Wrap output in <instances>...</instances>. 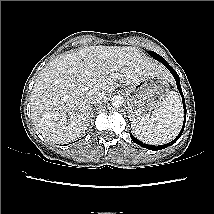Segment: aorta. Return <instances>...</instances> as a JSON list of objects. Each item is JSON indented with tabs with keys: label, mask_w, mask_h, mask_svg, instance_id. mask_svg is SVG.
<instances>
[{
	"label": "aorta",
	"mask_w": 214,
	"mask_h": 214,
	"mask_svg": "<svg viewBox=\"0 0 214 214\" xmlns=\"http://www.w3.org/2000/svg\"><path fill=\"white\" fill-rule=\"evenodd\" d=\"M123 97L120 96V95H114L112 98H111V104L113 107H120L123 105Z\"/></svg>",
	"instance_id": "aorta-1"
}]
</instances>
